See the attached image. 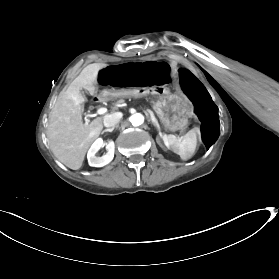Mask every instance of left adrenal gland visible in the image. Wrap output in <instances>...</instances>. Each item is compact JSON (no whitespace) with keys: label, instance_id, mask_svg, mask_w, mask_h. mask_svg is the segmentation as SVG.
Segmentation results:
<instances>
[{"label":"left adrenal gland","instance_id":"left-adrenal-gland-1","mask_svg":"<svg viewBox=\"0 0 279 279\" xmlns=\"http://www.w3.org/2000/svg\"><path fill=\"white\" fill-rule=\"evenodd\" d=\"M148 119H149V121H152V123H153V125L156 127L158 133H160V132H161V128H160V126H159L157 120L153 119L152 117H149Z\"/></svg>","mask_w":279,"mask_h":279}]
</instances>
